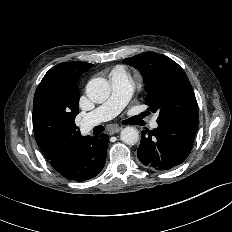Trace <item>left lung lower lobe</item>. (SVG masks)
I'll return each instance as SVG.
<instances>
[{"label": "left lung lower lobe", "instance_id": "1", "mask_svg": "<svg viewBox=\"0 0 232 232\" xmlns=\"http://www.w3.org/2000/svg\"><path fill=\"white\" fill-rule=\"evenodd\" d=\"M158 127L141 133L138 159L152 169L164 171L181 164L190 154L198 118L166 117Z\"/></svg>", "mask_w": 232, "mask_h": 232}]
</instances>
